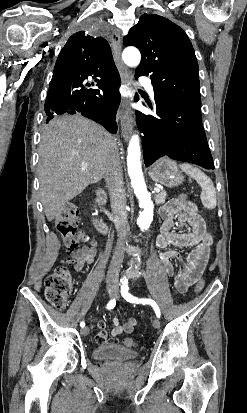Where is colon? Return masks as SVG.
Instances as JSON below:
<instances>
[{
  "label": "colon",
  "mask_w": 247,
  "mask_h": 413,
  "mask_svg": "<svg viewBox=\"0 0 247 413\" xmlns=\"http://www.w3.org/2000/svg\"><path fill=\"white\" fill-rule=\"evenodd\" d=\"M179 205H192V200L186 195L177 197ZM78 220V208L75 204H66L57 214L55 227L62 236L67 247L68 254H73L77 250L81 234L77 232L75 223ZM72 278L68 265L57 266L48 274L44 280V291L51 306L61 309L64 308L72 296ZM204 287V280L199 277L196 284V293L201 292ZM124 345L128 348H135L137 343L134 339L126 338Z\"/></svg>",
  "instance_id": "1"
}]
</instances>
